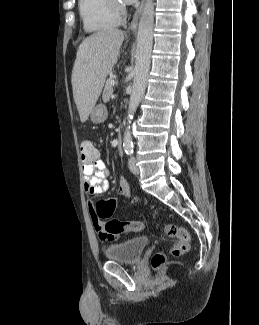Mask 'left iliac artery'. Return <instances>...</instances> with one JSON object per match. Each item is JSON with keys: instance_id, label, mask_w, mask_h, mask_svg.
<instances>
[{"instance_id": "1", "label": "left iliac artery", "mask_w": 259, "mask_h": 325, "mask_svg": "<svg viewBox=\"0 0 259 325\" xmlns=\"http://www.w3.org/2000/svg\"><path fill=\"white\" fill-rule=\"evenodd\" d=\"M124 150L126 152L127 155H131L133 154V143L130 140H127L124 144H123Z\"/></svg>"}]
</instances>
